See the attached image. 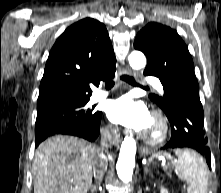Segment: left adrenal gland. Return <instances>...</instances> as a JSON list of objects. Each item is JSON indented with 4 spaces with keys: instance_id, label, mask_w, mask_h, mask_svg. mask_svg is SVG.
Returning <instances> with one entry per match:
<instances>
[{
    "instance_id": "left-adrenal-gland-1",
    "label": "left adrenal gland",
    "mask_w": 221,
    "mask_h": 193,
    "mask_svg": "<svg viewBox=\"0 0 221 193\" xmlns=\"http://www.w3.org/2000/svg\"><path fill=\"white\" fill-rule=\"evenodd\" d=\"M147 174H150L152 176V173L151 171L149 170L148 167H144V177L147 175Z\"/></svg>"
}]
</instances>
